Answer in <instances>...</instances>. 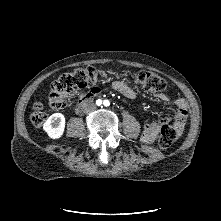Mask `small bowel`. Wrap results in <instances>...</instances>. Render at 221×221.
I'll use <instances>...</instances> for the list:
<instances>
[{"mask_svg": "<svg viewBox=\"0 0 221 221\" xmlns=\"http://www.w3.org/2000/svg\"><path fill=\"white\" fill-rule=\"evenodd\" d=\"M112 88L122 94L123 96L133 99L136 97V91L129 86L126 82L117 80L112 83ZM100 92L99 90L96 91H90L88 94L95 95ZM83 92L76 93L77 97L83 96ZM157 100H159L162 103H168L169 98L164 93H158L154 95ZM187 118V106L184 99L179 98L176 100V113H175V119L172 123V126L175 128L178 134H180L184 128V124ZM165 123L163 120H156L149 122L144 125L143 132L141 139L144 143L150 144L152 143L156 136L159 133V130L161 126Z\"/></svg>", "mask_w": 221, "mask_h": 221, "instance_id": "small-bowel-1", "label": "small bowel"}]
</instances>
